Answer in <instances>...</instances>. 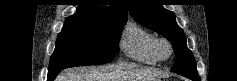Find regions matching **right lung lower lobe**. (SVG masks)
Here are the masks:
<instances>
[{
    "label": "right lung lower lobe",
    "instance_id": "1",
    "mask_svg": "<svg viewBox=\"0 0 237 81\" xmlns=\"http://www.w3.org/2000/svg\"><path fill=\"white\" fill-rule=\"evenodd\" d=\"M59 73L60 71L48 73V81H53Z\"/></svg>",
    "mask_w": 237,
    "mask_h": 81
}]
</instances>
